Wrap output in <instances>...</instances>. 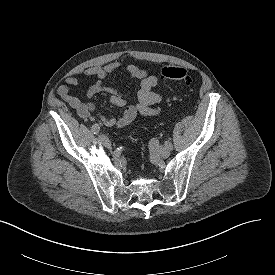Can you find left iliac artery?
Masks as SVG:
<instances>
[{
    "mask_svg": "<svg viewBox=\"0 0 275 275\" xmlns=\"http://www.w3.org/2000/svg\"><path fill=\"white\" fill-rule=\"evenodd\" d=\"M165 147L168 148L169 150L173 149V146H172V144L169 141L165 142Z\"/></svg>",
    "mask_w": 275,
    "mask_h": 275,
    "instance_id": "left-iliac-artery-1",
    "label": "left iliac artery"
}]
</instances>
